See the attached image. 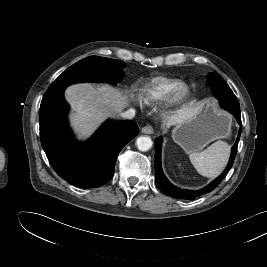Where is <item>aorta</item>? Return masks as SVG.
Listing matches in <instances>:
<instances>
[{
	"label": "aorta",
	"mask_w": 267,
	"mask_h": 267,
	"mask_svg": "<svg viewBox=\"0 0 267 267\" xmlns=\"http://www.w3.org/2000/svg\"><path fill=\"white\" fill-rule=\"evenodd\" d=\"M136 144L140 151H147L152 147V140L150 137L141 136L137 138Z\"/></svg>",
	"instance_id": "aorta-1"
}]
</instances>
